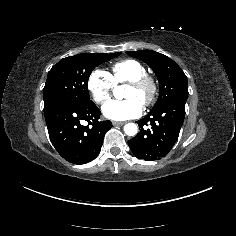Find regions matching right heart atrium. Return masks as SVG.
Here are the masks:
<instances>
[{"label": "right heart atrium", "mask_w": 236, "mask_h": 236, "mask_svg": "<svg viewBox=\"0 0 236 236\" xmlns=\"http://www.w3.org/2000/svg\"><path fill=\"white\" fill-rule=\"evenodd\" d=\"M93 101L100 106L106 105L112 98L116 85L112 76L100 69L94 70L87 82Z\"/></svg>", "instance_id": "right-heart-atrium-1"}]
</instances>
